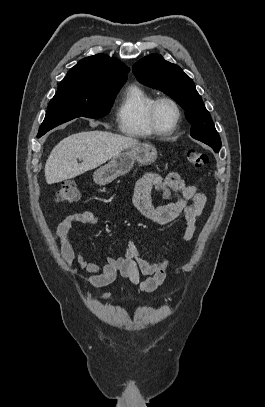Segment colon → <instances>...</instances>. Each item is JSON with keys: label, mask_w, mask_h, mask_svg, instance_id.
<instances>
[{"label": "colon", "mask_w": 265, "mask_h": 407, "mask_svg": "<svg viewBox=\"0 0 265 407\" xmlns=\"http://www.w3.org/2000/svg\"><path fill=\"white\" fill-rule=\"evenodd\" d=\"M188 162L194 167H204L209 162V156L195 149H189L185 153ZM80 191L75 183L64 182L55 194V200L58 202L72 203L80 199Z\"/></svg>", "instance_id": "obj_1"}]
</instances>
